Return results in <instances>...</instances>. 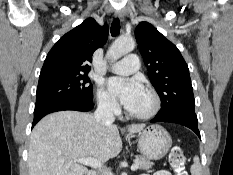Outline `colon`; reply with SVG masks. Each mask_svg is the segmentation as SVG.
<instances>
[{
  "label": "colon",
  "mask_w": 233,
  "mask_h": 175,
  "mask_svg": "<svg viewBox=\"0 0 233 175\" xmlns=\"http://www.w3.org/2000/svg\"><path fill=\"white\" fill-rule=\"evenodd\" d=\"M185 153L180 145H175L169 154V164L175 175H188L185 169Z\"/></svg>",
  "instance_id": "obj_1"
}]
</instances>
